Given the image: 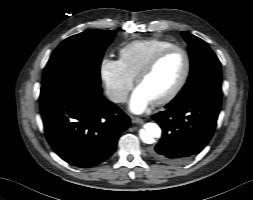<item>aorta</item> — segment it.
<instances>
[{
    "label": "aorta",
    "instance_id": "obj_1",
    "mask_svg": "<svg viewBox=\"0 0 253 200\" xmlns=\"http://www.w3.org/2000/svg\"><path fill=\"white\" fill-rule=\"evenodd\" d=\"M144 131L140 132V137L143 142L147 144L153 143L154 137H160L161 135V129L160 127L155 123H146L144 125Z\"/></svg>",
    "mask_w": 253,
    "mask_h": 200
}]
</instances>
